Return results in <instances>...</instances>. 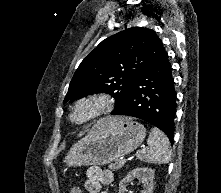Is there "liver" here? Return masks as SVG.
<instances>
[{"label": "liver", "instance_id": "obj_1", "mask_svg": "<svg viewBox=\"0 0 221 193\" xmlns=\"http://www.w3.org/2000/svg\"><path fill=\"white\" fill-rule=\"evenodd\" d=\"M121 120L122 118L120 117H108V118L103 119V122L106 124L112 125L113 123L119 122Z\"/></svg>", "mask_w": 221, "mask_h": 193}]
</instances>
